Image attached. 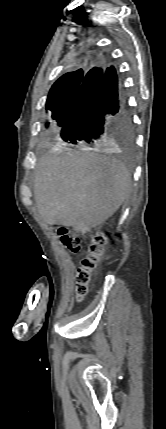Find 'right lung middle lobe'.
I'll use <instances>...</instances> for the list:
<instances>
[{"mask_svg": "<svg viewBox=\"0 0 166 429\" xmlns=\"http://www.w3.org/2000/svg\"><path fill=\"white\" fill-rule=\"evenodd\" d=\"M84 75H76L59 83L54 84L47 96L46 110L49 111L51 118L55 121L58 127H62L67 114L72 106L78 89L82 83ZM46 124V127H48ZM115 143L123 146L130 147L133 143V128L127 126L125 128L116 129L106 141V145H113Z\"/></svg>", "mask_w": 166, "mask_h": 429, "instance_id": "right-lung-middle-lobe-1", "label": "right lung middle lobe"}]
</instances>
